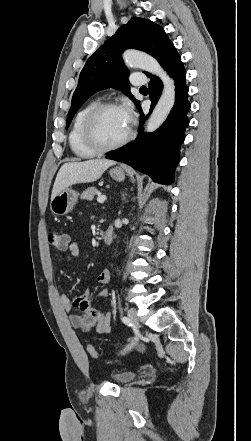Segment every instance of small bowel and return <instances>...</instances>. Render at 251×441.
<instances>
[{
	"label": "small bowel",
	"instance_id": "c3829d8e",
	"mask_svg": "<svg viewBox=\"0 0 251 441\" xmlns=\"http://www.w3.org/2000/svg\"><path fill=\"white\" fill-rule=\"evenodd\" d=\"M67 250L74 258L80 256V247L77 242L69 243ZM111 274L109 270H103L97 277V282L100 284H107L110 281ZM108 291L103 289L99 292V298H106ZM59 302L63 309L67 312L77 310V313H71L69 320L74 328L88 332L95 329L98 333H109L111 330V319L108 312L101 311L98 308L91 306L89 300V292L85 291L82 295L71 299L66 294L59 296Z\"/></svg>",
	"mask_w": 251,
	"mask_h": 441
}]
</instances>
